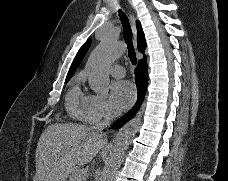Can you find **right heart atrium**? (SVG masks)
<instances>
[{
  "label": "right heart atrium",
  "mask_w": 228,
  "mask_h": 181,
  "mask_svg": "<svg viewBox=\"0 0 228 181\" xmlns=\"http://www.w3.org/2000/svg\"><path fill=\"white\" fill-rule=\"evenodd\" d=\"M109 114L107 100L100 94L86 97L84 102V119L91 124L98 123Z\"/></svg>",
  "instance_id": "1"
}]
</instances>
